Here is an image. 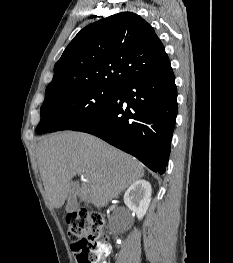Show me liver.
<instances>
[{"mask_svg":"<svg viewBox=\"0 0 233 263\" xmlns=\"http://www.w3.org/2000/svg\"><path fill=\"white\" fill-rule=\"evenodd\" d=\"M37 161L46 199L60 208L71 195L97 208L144 175L143 165L132 156L90 134L64 131L44 137L38 143ZM87 180L75 185L71 180ZM75 185L77 192H72Z\"/></svg>","mask_w":233,"mask_h":263,"instance_id":"6515ba94","label":"liver"}]
</instances>
